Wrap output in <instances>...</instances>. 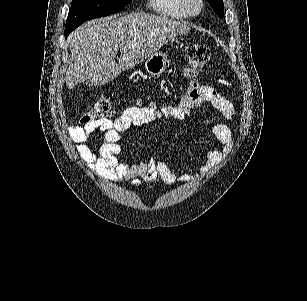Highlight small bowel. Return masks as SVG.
<instances>
[{
    "instance_id": "obj_1",
    "label": "small bowel",
    "mask_w": 307,
    "mask_h": 301,
    "mask_svg": "<svg viewBox=\"0 0 307 301\" xmlns=\"http://www.w3.org/2000/svg\"><path fill=\"white\" fill-rule=\"evenodd\" d=\"M204 104H209L227 120L235 119L236 109L227 98L216 93L209 86L192 82L177 105L165 106L162 109L131 106L114 120L98 121L88 125H71L68 128V135L76 144L78 154L87 162L89 168L97 176L106 180L130 181L133 186L157 180H162L167 185L177 181L189 182L205 176L231 152L233 136L226 124L222 122L210 124V131L220 147L208 151L206 162L198 173L183 175L180 178H177L163 161L148 159L130 164L121 159V134L133 126L150 124L160 118L183 121L193 109ZM97 131L102 134V143L98 151H94L87 142L90 136Z\"/></svg>"
}]
</instances>
